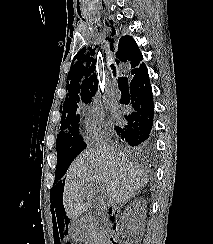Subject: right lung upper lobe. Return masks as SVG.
Masks as SVG:
<instances>
[{"label":"right lung upper lobe","instance_id":"cb5924a9","mask_svg":"<svg viewBox=\"0 0 213 244\" xmlns=\"http://www.w3.org/2000/svg\"><path fill=\"white\" fill-rule=\"evenodd\" d=\"M86 57L78 61L69 72V93L66 96L63 111L91 102L92 96L97 91L98 81L95 74L94 60L89 56ZM116 57L118 63L130 62L131 68H133L131 82L146 68L145 64L141 63L143 56L140 49L131 36L126 35L120 38Z\"/></svg>","mask_w":213,"mask_h":244}]
</instances>
